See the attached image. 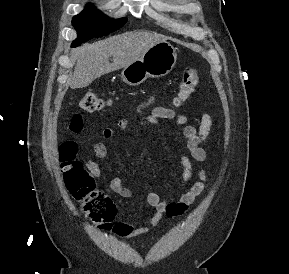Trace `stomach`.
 I'll return each mask as SVG.
<instances>
[{
    "mask_svg": "<svg viewBox=\"0 0 289 274\" xmlns=\"http://www.w3.org/2000/svg\"><path fill=\"white\" fill-rule=\"evenodd\" d=\"M177 61L176 49L163 40L150 47L139 59L124 67L121 79L130 86H137L147 78H159L172 71Z\"/></svg>",
    "mask_w": 289,
    "mask_h": 274,
    "instance_id": "0dacf381",
    "label": "stomach"
}]
</instances>
